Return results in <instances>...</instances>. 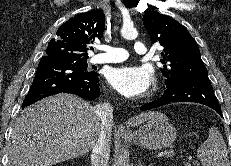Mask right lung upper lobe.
<instances>
[{"mask_svg":"<svg viewBox=\"0 0 231 166\" xmlns=\"http://www.w3.org/2000/svg\"><path fill=\"white\" fill-rule=\"evenodd\" d=\"M105 29V15L100 10H92L75 15L56 33L48 43L46 56L63 60L86 59L89 45L101 39Z\"/></svg>","mask_w":231,"mask_h":166,"instance_id":"obj_1","label":"right lung upper lobe"}]
</instances>
